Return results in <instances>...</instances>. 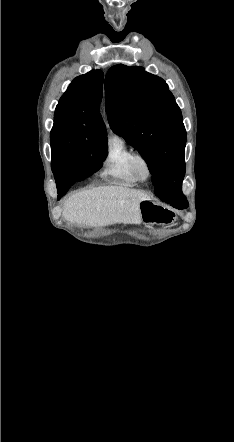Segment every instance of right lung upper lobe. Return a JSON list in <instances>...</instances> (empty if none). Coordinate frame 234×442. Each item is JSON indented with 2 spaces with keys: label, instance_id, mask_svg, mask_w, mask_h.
I'll return each mask as SVG.
<instances>
[{
  "label": "right lung upper lobe",
  "instance_id": "1",
  "mask_svg": "<svg viewBox=\"0 0 234 442\" xmlns=\"http://www.w3.org/2000/svg\"><path fill=\"white\" fill-rule=\"evenodd\" d=\"M103 72L92 70L76 77L55 109L54 122L71 124L85 136L106 138L99 113L102 98Z\"/></svg>",
  "mask_w": 234,
  "mask_h": 442
}]
</instances>
